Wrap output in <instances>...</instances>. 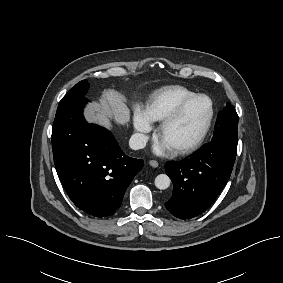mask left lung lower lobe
<instances>
[{
  "label": "left lung lower lobe",
  "mask_w": 283,
  "mask_h": 283,
  "mask_svg": "<svg viewBox=\"0 0 283 283\" xmlns=\"http://www.w3.org/2000/svg\"><path fill=\"white\" fill-rule=\"evenodd\" d=\"M237 148L211 141L181 163H167L173 195L165 203L175 217L189 219L203 213L228 182Z\"/></svg>",
  "instance_id": "left-lung-lower-lobe-1"
}]
</instances>
